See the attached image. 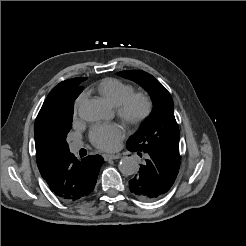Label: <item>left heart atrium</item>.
Here are the masks:
<instances>
[{
	"label": "left heart atrium",
	"mask_w": 246,
	"mask_h": 246,
	"mask_svg": "<svg viewBox=\"0 0 246 246\" xmlns=\"http://www.w3.org/2000/svg\"><path fill=\"white\" fill-rule=\"evenodd\" d=\"M125 135V130L118 123L97 124L90 130L91 142L100 150L114 151Z\"/></svg>",
	"instance_id": "39dd6f15"
}]
</instances>
